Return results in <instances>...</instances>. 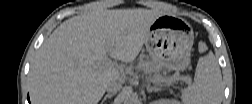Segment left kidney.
I'll return each mask as SVG.
<instances>
[{
	"label": "left kidney",
	"mask_w": 252,
	"mask_h": 104,
	"mask_svg": "<svg viewBox=\"0 0 252 104\" xmlns=\"http://www.w3.org/2000/svg\"><path fill=\"white\" fill-rule=\"evenodd\" d=\"M164 103H170V101H168V100H165V101H163Z\"/></svg>",
	"instance_id": "left-kidney-1"
}]
</instances>
